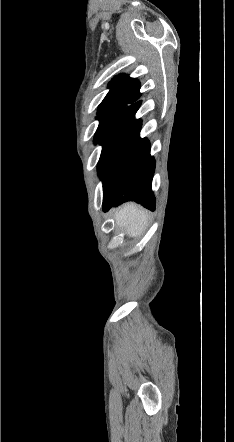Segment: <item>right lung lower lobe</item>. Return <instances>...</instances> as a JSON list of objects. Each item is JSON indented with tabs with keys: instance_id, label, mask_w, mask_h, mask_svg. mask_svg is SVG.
<instances>
[{
	"instance_id": "right-lung-lower-lobe-1",
	"label": "right lung lower lobe",
	"mask_w": 234,
	"mask_h": 442,
	"mask_svg": "<svg viewBox=\"0 0 234 442\" xmlns=\"http://www.w3.org/2000/svg\"><path fill=\"white\" fill-rule=\"evenodd\" d=\"M141 101L121 111L100 141L98 174L103 181V210L134 200L154 210L152 178L155 160L148 139H141V120L135 119Z\"/></svg>"
}]
</instances>
